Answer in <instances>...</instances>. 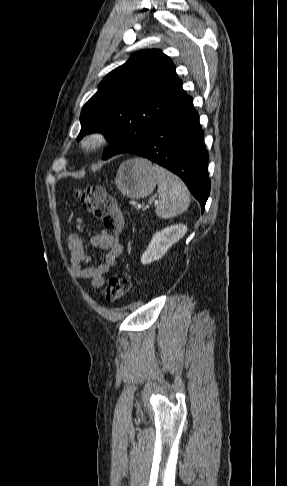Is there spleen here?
<instances>
[{
	"instance_id": "1",
	"label": "spleen",
	"mask_w": 287,
	"mask_h": 486,
	"mask_svg": "<svg viewBox=\"0 0 287 486\" xmlns=\"http://www.w3.org/2000/svg\"><path fill=\"white\" fill-rule=\"evenodd\" d=\"M160 196L155 213L159 218L171 219L189 207L190 193L185 183L165 168L154 165Z\"/></svg>"
}]
</instances>
